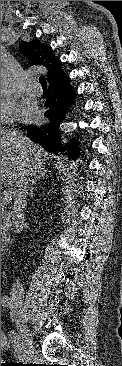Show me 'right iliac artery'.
<instances>
[{
	"label": "right iliac artery",
	"instance_id": "82829eb1",
	"mask_svg": "<svg viewBox=\"0 0 122 366\" xmlns=\"http://www.w3.org/2000/svg\"><path fill=\"white\" fill-rule=\"evenodd\" d=\"M1 305L3 306V307H9L10 306V298L8 297V296H3L2 298H1ZM13 334H14V332H10V334H9V336H10V342L11 343H15L16 344V341L18 340V338H13ZM18 343V342H17ZM17 347V346H16ZM24 352H25V350H23V343H22V345H21V347L19 348V350H18V353H19V355L20 356H26L25 354H24Z\"/></svg>",
	"mask_w": 122,
	"mask_h": 366
}]
</instances>
